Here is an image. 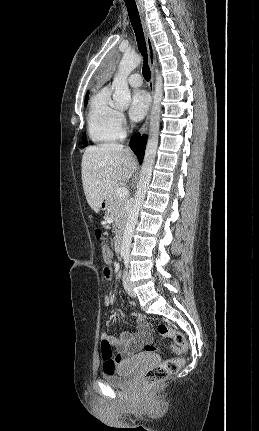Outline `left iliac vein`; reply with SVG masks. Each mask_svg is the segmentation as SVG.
I'll use <instances>...</instances> for the list:
<instances>
[{"label": "left iliac vein", "instance_id": "left-iliac-vein-1", "mask_svg": "<svg viewBox=\"0 0 259 431\" xmlns=\"http://www.w3.org/2000/svg\"><path fill=\"white\" fill-rule=\"evenodd\" d=\"M123 285L125 290L131 297H136V293L134 292L133 287L131 285L130 274L128 271H125L123 274Z\"/></svg>", "mask_w": 259, "mask_h": 431}]
</instances>
